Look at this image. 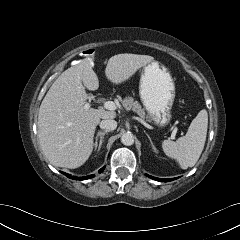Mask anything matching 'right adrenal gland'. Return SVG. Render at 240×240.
I'll return each instance as SVG.
<instances>
[{
    "mask_svg": "<svg viewBox=\"0 0 240 240\" xmlns=\"http://www.w3.org/2000/svg\"><path fill=\"white\" fill-rule=\"evenodd\" d=\"M107 133H108V131H99L97 133V136L95 138V144H94L95 145V150L97 149V146H98V151L100 150L101 145L103 143L104 135L107 134ZM99 138H100V141H99V144H98V139Z\"/></svg>",
    "mask_w": 240,
    "mask_h": 240,
    "instance_id": "right-adrenal-gland-1",
    "label": "right adrenal gland"
}]
</instances>
